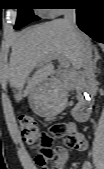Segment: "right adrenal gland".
Wrapping results in <instances>:
<instances>
[{
    "label": "right adrenal gland",
    "instance_id": "obj_1",
    "mask_svg": "<svg viewBox=\"0 0 104 169\" xmlns=\"http://www.w3.org/2000/svg\"><path fill=\"white\" fill-rule=\"evenodd\" d=\"M93 51H94V62H93V65H94V70L95 72H97V62L99 59H101L102 57L100 56L99 52H98V49L96 46H93Z\"/></svg>",
    "mask_w": 104,
    "mask_h": 169
}]
</instances>
